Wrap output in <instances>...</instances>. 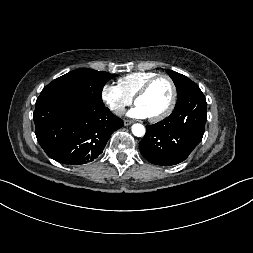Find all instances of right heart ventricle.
<instances>
[{"label": "right heart ventricle", "instance_id": "obj_1", "mask_svg": "<svg viewBox=\"0 0 253 253\" xmlns=\"http://www.w3.org/2000/svg\"><path fill=\"white\" fill-rule=\"evenodd\" d=\"M153 72H135L118 79L117 85L129 97L133 98L139 89L151 78L156 76Z\"/></svg>", "mask_w": 253, "mask_h": 253}]
</instances>
